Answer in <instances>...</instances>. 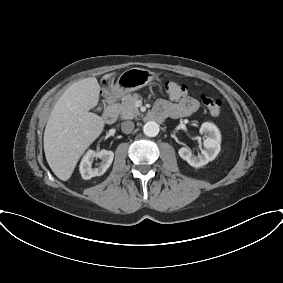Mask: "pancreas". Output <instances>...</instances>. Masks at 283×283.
<instances>
[{"label": "pancreas", "instance_id": "pancreas-1", "mask_svg": "<svg viewBox=\"0 0 283 283\" xmlns=\"http://www.w3.org/2000/svg\"><path fill=\"white\" fill-rule=\"evenodd\" d=\"M140 98L138 94H128L122 98L121 103H117L113 105L115 111L121 116L123 119H133L140 115L138 108L135 106V102Z\"/></svg>", "mask_w": 283, "mask_h": 283}]
</instances>
